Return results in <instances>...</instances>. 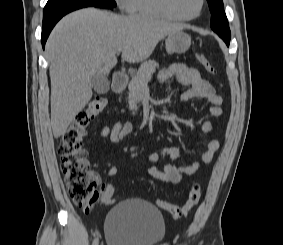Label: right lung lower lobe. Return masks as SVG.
Instances as JSON below:
<instances>
[{"label":"right lung lower lobe","instance_id":"obj_1","mask_svg":"<svg viewBox=\"0 0 283 245\" xmlns=\"http://www.w3.org/2000/svg\"><path fill=\"white\" fill-rule=\"evenodd\" d=\"M91 7V6H88ZM94 7H103V8H112V7H108V6H94ZM83 8V7H82ZM79 9V8H78ZM74 10L77 9H73L64 13H60V14H56L53 15L49 18L43 19V27H42V45L43 48L45 46L46 40L51 32V30L53 29V27L55 26V24L66 14H68L69 12H72Z\"/></svg>","mask_w":283,"mask_h":245}]
</instances>
